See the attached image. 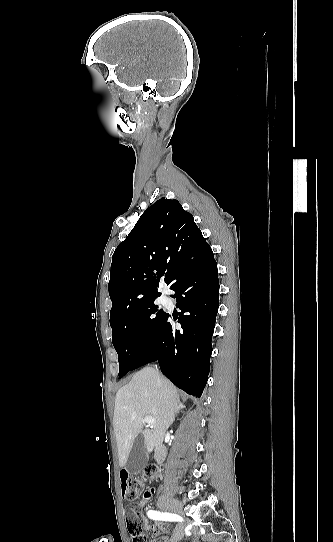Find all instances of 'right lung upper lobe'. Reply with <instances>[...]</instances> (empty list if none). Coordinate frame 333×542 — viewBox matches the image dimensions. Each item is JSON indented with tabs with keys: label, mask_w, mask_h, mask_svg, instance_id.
Segmentation results:
<instances>
[{
	"label": "right lung upper lobe",
	"mask_w": 333,
	"mask_h": 542,
	"mask_svg": "<svg viewBox=\"0 0 333 542\" xmlns=\"http://www.w3.org/2000/svg\"><path fill=\"white\" fill-rule=\"evenodd\" d=\"M203 239L193 216L177 200L161 198L151 205L113 254L110 319L153 302L161 295V277L173 286L179 250Z\"/></svg>",
	"instance_id": "right-lung-upper-lobe-1"
}]
</instances>
